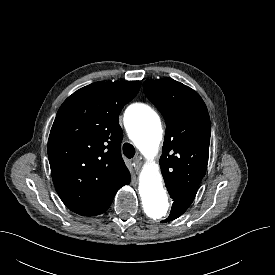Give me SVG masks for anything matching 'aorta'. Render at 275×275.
Wrapping results in <instances>:
<instances>
[{
  "label": "aorta",
  "mask_w": 275,
  "mask_h": 275,
  "mask_svg": "<svg viewBox=\"0 0 275 275\" xmlns=\"http://www.w3.org/2000/svg\"><path fill=\"white\" fill-rule=\"evenodd\" d=\"M125 123L131 140L147 159H152L163 132L159 115L145 104H133L126 110ZM139 194L149 219L160 221L168 216L170 204L157 164L150 163L142 170Z\"/></svg>",
  "instance_id": "762f6f07"
}]
</instances>
